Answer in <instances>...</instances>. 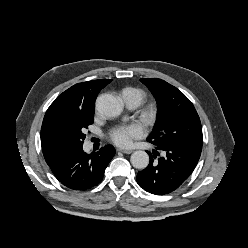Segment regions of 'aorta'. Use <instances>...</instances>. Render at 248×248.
Here are the masks:
<instances>
[{"mask_svg": "<svg viewBox=\"0 0 248 248\" xmlns=\"http://www.w3.org/2000/svg\"><path fill=\"white\" fill-rule=\"evenodd\" d=\"M96 110L102 116L117 117L123 110V103L111 94H102L96 100ZM130 161L133 167L145 169L149 164V156L145 151H135Z\"/></svg>", "mask_w": 248, "mask_h": 248, "instance_id": "762f6f07", "label": "aorta"}]
</instances>
